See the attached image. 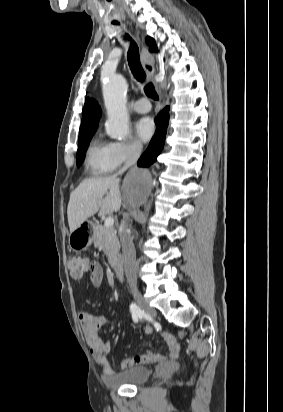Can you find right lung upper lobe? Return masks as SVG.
<instances>
[{
    "mask_svg": "<svg viewBox=\"0 0 283 412\" xmlns=\"http://www.w3.org/2000/svg\"><path fill=\"white\" fill-rule=\"evenodd\" d=\"M146 43L152 48V51H157V46L155 45L154 39L147 37ZM101 116L100 107L97 102L93 99L86 98L85 105L83 108L82 122L79 132V137L95 132L98 121Z\"/></svg>",
    "mask_w": 283,
    "mask_h": 412,
    "instance_id": "1",
    "label": "right lung upper lobe"
}]
</instances>
